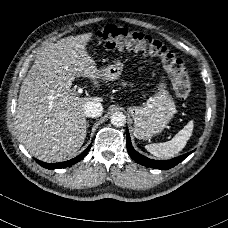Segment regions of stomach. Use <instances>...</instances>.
<instances>
[{"label":"stomach","instance_id":"obj_1","mask_svg":"<svg viewBox=\"0 0 228 228\" xmlns=\"http://www.w3.org/2000/svg\"><path fill=\"white\" fill-rule=\"evenodd\" d=\"M123 64L116 61L106 67L98 69V78L113 81L119 78ZM164 82L159 83L158 91L150 97L143 106L129 108V113L134 119V135L143 140L161 133L177 112L173 98L165 89Z\"/></svg>","mask_w":228,"mask_h":228}]
</instances>
